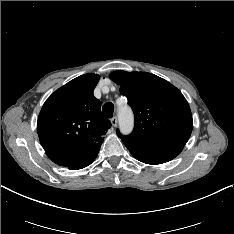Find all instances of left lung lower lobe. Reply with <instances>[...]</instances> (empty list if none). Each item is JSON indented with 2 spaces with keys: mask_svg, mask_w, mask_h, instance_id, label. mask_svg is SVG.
Segmentation results:
<instances>
[{
  "mask_svg": "<svg viewBox=\"0 0 234 234\" xmlns=\"http://www.w3.org/2000/svg\"><path fill=\"white\" fill-rule=\"evenodd\" d=\"M137 160L146 164H161L168 162L180 154L183 148L181 147H148L138 144L129 143L122 140Z\"/></svg>",
  "mask_w": 234,
  "mask_h": 234,
  "instance_id": "left-lung-lower-lobe-1",
  "label": "left lung lower lobe"
}]
</instances>
